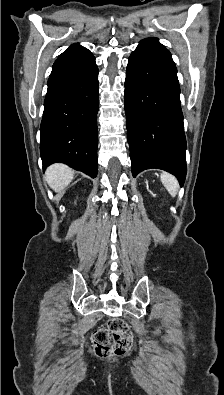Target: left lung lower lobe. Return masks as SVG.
<instances>
[{"label":"left lung lower lobe","mask_w":224,"mask_h":395,"mask_svg":"<svg viewBox=\"0 0 224 395\" xmlns=\"http://www.w3.org/2000/svg\"><path fill=\"white\" fill-rule=\"evenodd\" d=\"M124 105L133 176L158 168L183 185L186 139L177 69L159 42L143 40L129 57Z\"/></svg>","instance_id":"1"}]
</instances>
